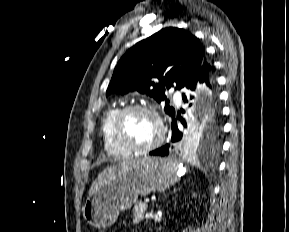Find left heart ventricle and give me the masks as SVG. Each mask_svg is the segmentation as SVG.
<instances>
[{
	"label": "left heart ventricle",
	"mask_w": 289,
	"mask_h": 232,
	"mask_svg": "<svg viewBox=\"0 0 289 232\" xmlns=\"http://www.w3.org/2000/svg\"><path fill=\"white\" fill-rule=\"evenodd\" d=\"M158 125L155 119L145 112H132L123 122L124 138L137 146H147L158 137Z\"/></svg>",
	"instance_id": "obj_1"
}]
</instances>
